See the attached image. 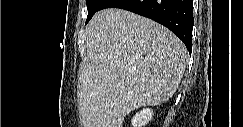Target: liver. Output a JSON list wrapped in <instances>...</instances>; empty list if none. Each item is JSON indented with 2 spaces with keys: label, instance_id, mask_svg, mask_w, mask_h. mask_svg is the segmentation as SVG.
<instances>
[{
  "label": "liver",
  "instance_id": "1",
  "mask_svg": "<svg viewBox=\"0 0 243 127\" xmlns=\"http://www.w3.org/2000/svg\"><path fill=\"white\" fill-rule=\"evenodd\" d=\"M79 104L84 127H122L125 116L176 92L188 61L164 26L122 9L97 12L86 27Z\"/></svg>",
  "mask_w": 243,
  "mask_h": 127
}]
</instances>
